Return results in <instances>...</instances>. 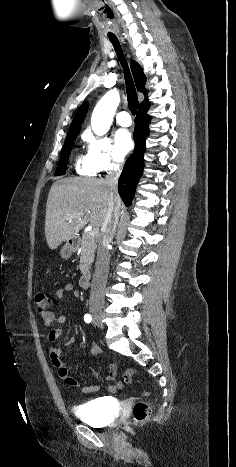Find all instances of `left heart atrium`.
Returning a JSON list of instances; mask_svg holds the SVG:
<instances>
[{
	"label": "left heart atrium",
	"mask_w": 236,
	"mask_h": 467,
	"mask_svg": "<svg viewBox=\"0 0 236 467\" xmlns=\"http://www.w3.org/2000/svg\"><path fill=\"white\" fill-rule=\"evenodd\" d=\"M115 141L119 156L122 158L133 147L131 134L126 129H120L116 132Z\"/></svg>",
	"instance_id": "obj_1"
}]
</instances>
